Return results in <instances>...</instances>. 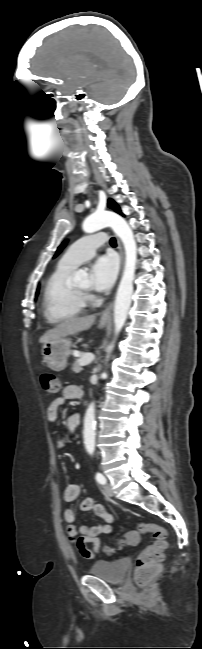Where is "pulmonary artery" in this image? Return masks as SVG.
<instances>
[{
  "label": "pulmonary artery",
  "instance_id": "obj_1",
  "mask_svg": "<svg viewBox=\"0 0 202 649\" xmlns=\"http://www.w3.org/2000/svg\"><path fill=\"white\" fill-rule=\"evenodd\" d=\"M107 238L104 233L87 235L74 242L63 255L61 262L77 267L82 262L90 259L97 249L106 244Z\"/></svg>",
  "mask_w": 202,
  "mask_h": 649
}]
</instances>
